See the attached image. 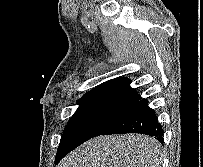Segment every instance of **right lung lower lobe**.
I'll use <instances>...</instances> for the list:
<instances>
[{"label":"right lung lower lobe","mask_w":203,"mask_h":167,"mask_svg":"<svg viewBox=\"0 0 203 167\" xmlns=\"http://www.w3.org/2000/svg\"><path fill=\"white\" fill-rule=\"evenodd\" d=\"M163 129L155 112L148 107L146 99L138 101L116 123L101 135L120 133H140L155 137L163 143ZM70 151L63 145H59L55 163H58Z\"/></svg>","instance_id":"1"}]
</instances>
